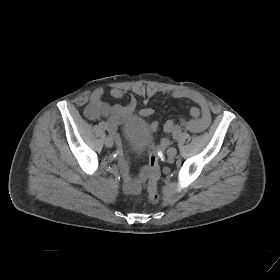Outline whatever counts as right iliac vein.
<instances>
[{
    "mask_svg": "<svg viewBox=\"0 0 280 280\" xmlns=\"http://www.w3.org/2000/svg\"><path fill=\"white\" fill-rule=\"evenodd\" d=\"M113 144H114V139H113V137L112 136H107L106 138H105V145L107 146V147H112L113 146Z\"/></svg>",
    "mask_w": 280,
    "mask_h": 280,
    "instance_id": "obj_1",
    "label": "right iliac vein"
}]
</instances>
